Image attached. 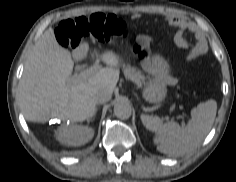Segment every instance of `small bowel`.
<instances>
[{"label": "small bowel", "mask_w": 236, "mask_h": 182, "mask_svg": "<svg viewBox=\"0 0 236 182\" xmlns=\"http://www.w3.org/2000/svg\"><path fill=\"white\" fill-rule=\"evenodd\" d=\"M168 22L171 26L176 27L178 29L176 34V41L179 45L183 46L185 44V40L183 39V31L187 28V24L181 20L180 18L176 16H172L168 19ZM141 41L146 42L149 40V37L147 36H141ZM204 52V45L203 43H198L193 50L188 54L187 60L191 61L193 59H196L200 55H202Z\"/></svg>", "instance_id": "small-bowel-1"}]
</instances>
